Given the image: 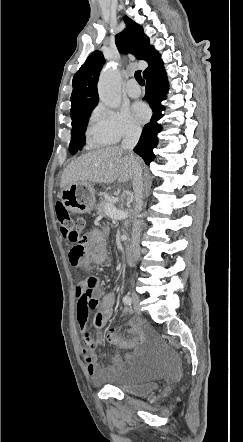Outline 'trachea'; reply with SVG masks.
Instances as JSON below:
<instances>
[{
	"label": "trachea",
	"instance_id": "1",
	"mask_svg": "<svg viewBox=\"0 0 243 442\" xmlns=\"http://www.w3.org/2000/svg\"><path fill=\"white\" fill-rule=\"evenodd\" d=\"M135 79L137 80V82L140 84V85H144V80H143V78H142V75H141V71L140 70H137L136 72H135Z\"/></svg>",
	"mask_w": 243,
	"mask_h": 442
}]
</instances>
